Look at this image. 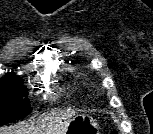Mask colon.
Masks as SVG:
<instances>
[{"label": "colon", "instance_id": "5ec220e1", "mask_svg": "<svg viewBox=\"0 0 153 134\" xmlns=\"http://www.w3.org/2000/svg\"><path fill=\"white\" fill-rule=\"evenodd\" d=\"M108 134H117V133L113 131V132H110V133H108Z\"/></svg>", "mask_w": 153, "mask_h": 134}]
</instances>
